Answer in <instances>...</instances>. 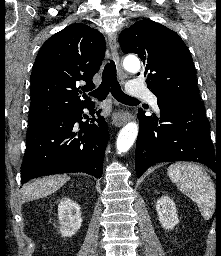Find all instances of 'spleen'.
I'll use <instances>...</instances> for the list:
<instances>
[{"label":"spleen","instance_id":"1","mask_svg":"<svg viewBox=\"0 0 221 256\" xmlns=\"http://www.w3.org/2000/svg\"><path fill=\"white\" fill-rule=\"evenodd\" d=\"M169 178L179 190L194 201L202 216L210 219L216 205V190L208 173L199 165L174 163L167 169Z\"/></svg>","mask_w":221,"mask_h":256}]
</instances>
